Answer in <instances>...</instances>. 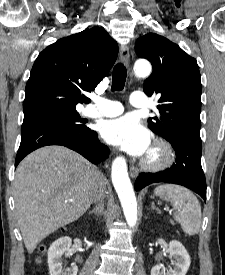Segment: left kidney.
<instances>
[{"label":"left kidney","instance_id":"5707ae66","mask_svg":"<svg viewBox=\"0 0 225 275\" xmlns=\"http://www.w3.org/2000/svg\"><path fill=\"white\" fill-rule=\"evenodd\" d=\"M170 258H174V268H171L167 273L160 271L162 265H155L151 269V275H186L190 267V256L185 247L176 240L169 243Z\"/></svg>","mask_w":225,"mask_h":275}]
</instances>
